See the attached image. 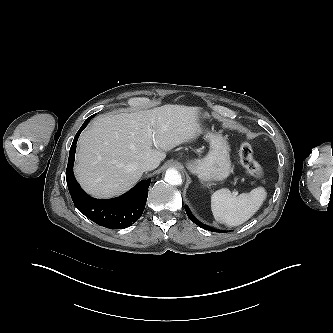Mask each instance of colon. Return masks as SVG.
Wrapping results in <instances>:
<instances>
[{"label":"colon","mask_w":333,"mask_h":333,"mask_svg":"<svg viewBox=\"0 0 333 333\" xmlns=\"http://www.w3.org/2000/svg\"><path fill=\"white\" fill-rule=\"evenodd\" d=\"M239 158L245 170L254 177L263 175L261 164L255 159L252 146L248 142H243L239 148Z\"/></svg>","instance_id":"colon-1"}]
</instances>
